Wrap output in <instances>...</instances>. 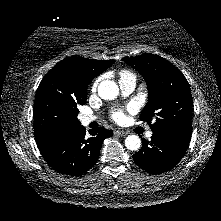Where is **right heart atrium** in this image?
<instances>
[{"label": "right heart atrium", "mask_w": 221, "mask_h": 221, "mask_svg": "<svg viewBox=\"0 0 221 221\" xmlns=\"http://www.w3.org/2000/svg\"><path fill=\"white\" fill-rule=\"evenodd\" d=\"M98 83H99V79L95 80L93 85H92V89L93 90H96L97 86H98Z\"/></svg>", "instance_id": "d8ad5b80"}]
</instances>
